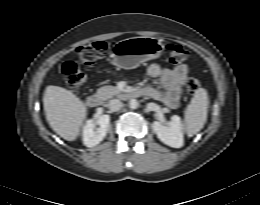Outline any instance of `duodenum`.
Segmentation results:
<instances>
[{
	"mask_svg": "<svg viewBox=\"0 0 260 205\" xmlns=\"http://www.w3.org/2000/svg\"><path fill=\"white\" fill-rule=\"evenodd\" d=\"M142 95L143 93L141 90H132L127 92H122L119 96L122 99L130 100V99L138 98ZM86 104L89 108L96 109L101 106L102 100L98 95L91 94L86 97Z\"/></svg>",
	"mask_w": 260,
	"mask_h": 205,
	"instance_id": "410a0bca",
	"label": "duodenum"
}]
</instances>
